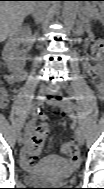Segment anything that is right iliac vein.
Here are the masks:
<instances>
[{
	"label": "right iliac vein",
	"instance_id": "1",
	"mask_svg": "<svg viewBox=\"0 0 104 189\" xmlns=\"http://www.w3.org/2000/svg\"><path fill=\"white\" fill-rule=\"evenodd\" d=\"M46 93H47V90H45V89L40 90L39 95L37 96V101H36L37 105H41L42 104ZM17 141H18L19 144H22L24 142L22 133H18Z\"/></svg>",
	"mask_w": 104,
	"mask_h": 189
}]
</instances>
